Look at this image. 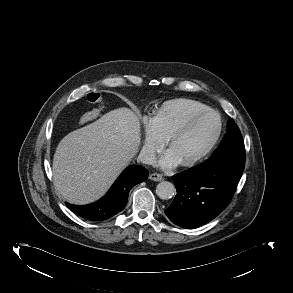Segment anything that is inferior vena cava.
<instances>
[{
    "label": "inferior vena cava",
    "instance_id": "inferior-vena-cava-1",
    "mask_svg": "<svg viewBox=\"0 0 293 293\" xmlns=\"http://www.w3.org/2000/svg\"><path fill=\"white\" fill-rule=\"evenodd\" d=\"M138 161L143 164H153L155 161V152L151 149L143 148L138 156Z\"/></svg>",
    "mask_w": 293,
    "mask_h": 293
}]
</instances>
